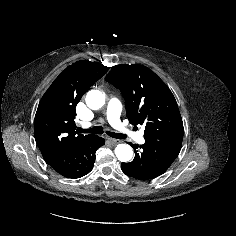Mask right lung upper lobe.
Here are the masks:
<instances>
[{
  "mask_svg": "<svg viewBox=\"0 0 236 236\" xmlns=\"http://www.w3.org/2000/svg\"><path fill=\"white\" fill-rule=\"evenodd\" d=\"M108 69L98 63L77 61L63 70L45 92L34 120V136L43 157L72 149L94 136L75 131V108Z\"/></svg>",
  "mask_w": 236,
  "mask_h": 236,
  "instance_id": "1",
  "label": "right lung upper lobe"
}]
</instances>
